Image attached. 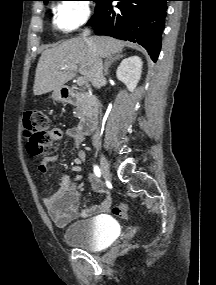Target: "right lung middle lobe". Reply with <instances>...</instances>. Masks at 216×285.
<instances>
[{
  "label": "right lung middle lobe",
  "mask_w": 216,
  "mask_h": 285,
  "mask_svg": "<svg viewBox=\"0 0 216 285\" xmlns=\"http://www.w3.org/2000/svg\"><path fill=\"white\" fill-rule=\"evenodd\" d=\"M91 1H95V2H96V4H97V2H98L99 0H91ZM45 4H47V2H46Z\"/></svg>",
  "instance_id": "obj_1"
}]
</instances>
